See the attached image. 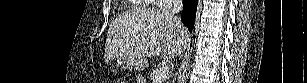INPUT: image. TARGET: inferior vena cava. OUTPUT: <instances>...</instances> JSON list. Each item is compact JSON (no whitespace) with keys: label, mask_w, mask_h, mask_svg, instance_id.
Wrapping results in <instances>:
<instances>
[{"label":"inferior vena cava","mask_w":307,"mask_h":83,"mask_svg":"<svg viewBox=\"0 0 307 83\" xmlns=\"http://www.w3.org/2000/svg\"><path fill=\"white\" fill-rule=\"evenodd\" d=\"M183 9V1L182 0H173V9H172V15L175 16V14L181 12ZM176 19H178V22H181L178 17L175 16Z\"/></svg>","instance_id":"obj_1"}]
</instances>
